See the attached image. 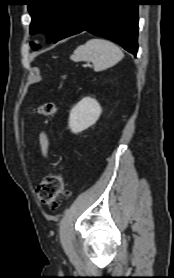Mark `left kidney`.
Listing matches in <instances>:
<instances>
[{
	"instance_id": "5707ae66",
	"label": "left kidney",
	"mask_w": 174,
	"mask_h": 278,
	"mask_svg": "<svg viewBox=\"0 0 174 278\" xmlns=\"http://www.w3.org/2000/svg\"><path fill=\"white\" fill-rule=\"evenodd\" d=\"M101 112V106L95 99L83 98L70 112L69 128L71 132L77 134L95 124Z\"/></svg>"
}]
</instances>
